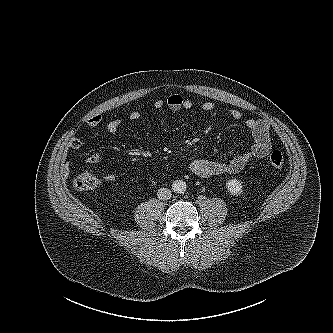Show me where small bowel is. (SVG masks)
<instances>
[{
	"mask_svg": "<svg viewBox=\"0 0 333 333\" xmlns=\"http://www.w3.org/2000/svg\"><path fill=\"white\" fill-rule=\"evenodd\" d=\"M154 107L158 110L167 107L169 110L177 112L193 109L194 103L192 100L186 99L179 94H172L166 99L156 100ZM200 108L203 112L209 113L215 110V105L212 102H204L201 104ZM229 116L235 121H243V114L238 109H231ZM141 117L142 113L138 110H134L129 114V119L133 121L139 120ZM101 122L102 117L100 115H94L88 120V125L90 127H96L100 125ZM123 122V119H113L107 122L106 127L109 132L116 133L120 130ZM243 122L253 137V143L248 150L237 153L232 158L225 161L209 160L205 158L194 159L189 164L190 171L204 178L224 174H236L243 170L251 159L267 156L272 148L268 122L263 119L254 118H247ZM82 145L83 143L78 137H72L68 142L69 148L74 150L80 149ZM99 161L100 157L96 153L89 157V162L92 164H96ZM65 171H69L68 166H65ZM104 178L107 181H114L116 180V175L108 173Z\"/></svg>",
	"mask_w": 333,
	"mask_h": 333,
	"instance_id": "c3829d8e",
	"label": "small bowel"
}]
</instances>
